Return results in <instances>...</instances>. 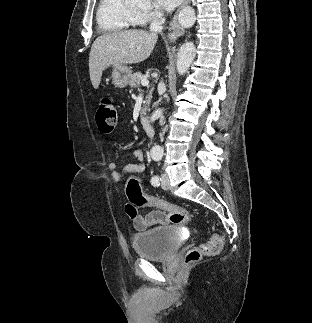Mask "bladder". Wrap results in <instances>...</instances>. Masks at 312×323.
I'll list each match as a JSON object with an SVG mask.
<instances>
[{
  "instance_id": "obj_1",
  "label": "bladder",
  "mask_w": 312,
  "mask_h": 323,
  "mask_svg": "<svg viewBox=\"0 0 312 323\" xmlns=\"http://www.w3.org/2000/svg\"><path fill=\"white\" fill-rule=\"evenodd\" d=\"M179 243L176 229L168 226H159L133 237L136 253L149 260L167 259L177 252Z\"/></svg>"
}]
</instances>
